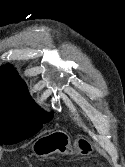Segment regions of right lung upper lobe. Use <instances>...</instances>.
<instances>
[{
  "label": "right lung upper lobe",
  "instance_id": "cb5924a9",
  "mask_svg": "<svg viewBox=\"0 0 125 167\" xmlns=\"http://www.w3.org/2000/svg\"><path fill=\"white\" fill-rule=\"evenodd\" d=\"M0 96L15 99L31 98L25 82L10 65L2 66L0 69Z\"/></svg>",
  "mask_w": 125,
  "mask_h": 167
}]
</instances>
